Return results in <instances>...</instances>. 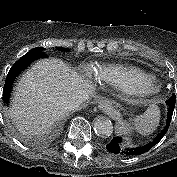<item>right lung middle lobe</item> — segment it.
Wrapping results in <instances>:
<instances>
[{"instance_id": "1", "label": "right lung middle lobe", "mask_w": 177, "mask_h": 177, "mask_svg": "<svg viewBox=\"0 0 177 177\" xmlns=\"http://www.w3.org/2000/svg\"><path fill=\"white\" fill-rule=\"evenodd\" d=\"M57 49L61 50V51H66L67 49L66 48H62V47H57ZM45 50V48L43 47H38V48H34L30 51H33V52H43Z\"/></svg>"}]
</instances>
